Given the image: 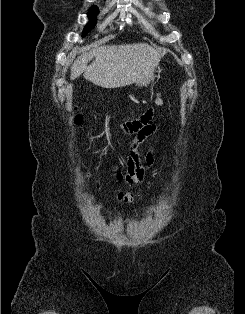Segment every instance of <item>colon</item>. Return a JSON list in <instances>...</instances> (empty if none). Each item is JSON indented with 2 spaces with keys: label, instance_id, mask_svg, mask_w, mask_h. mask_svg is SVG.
Here are the masks:
<instances>
[{
  "label": "colon",
  "instance_id": "colon-1",
  "mask_svg": "<svg viewBox=\"0 0 245 314\" xmlns=\"http://www.w3.org/2000/svg\"><path fill=\"white\" fill-rule=\"evenodd\" d=\"M81 118L79 116L75 117V123H80ZM116 197L118 200L125 202V203H130L133 201V196L130 193H125V192H118L116 194Z\"/></svg>",
  "mask_w": 245,
  "mask_h": 314
}]
</instances>
